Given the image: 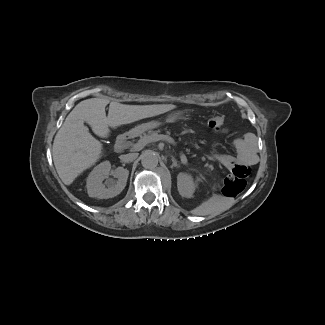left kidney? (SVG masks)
Returning a JSON list of instances; mask_svg holds the SVG:
<instances>
[{"mask_svg":"<svg viewBox=\"0 0 325 325\" xmlns=\"http://www.w3.org/2000/svg\"><path fill=\"white\" fill-rule=\"evenodd\" d=\"M200 180V178H197L196 181ZM177 187L179 194L182 197L191 198L195 188L197 187V183L194 182L191 175L187 173H179L177 176Z\"/></svg>","mask_w":325,"mask_h":325,"instance_id":"5707ae66","label":"left kidney"}]
</instances>
